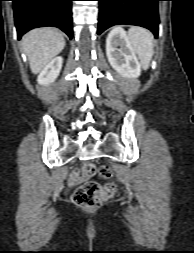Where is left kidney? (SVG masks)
Here are the masks:
<instances>
[{
    "label": "left kidney",
    "mask_w": 194,
    "mask_h": 253,
    "mask_svg": "<svg viewBox=\"0 0 194 253\" xmlns=\"http://www.w3.org/2000/svg\"><path fill=\"white\" fill-rule=\"evenodd\" d=\"M106 55L110 65L125 78H137L141 66L123 29L116 27L106 40Z\"/></svg>",
    "instance_id": "5707ae66"
}]
</instances>
